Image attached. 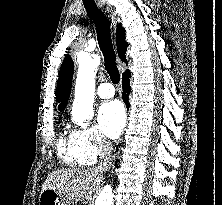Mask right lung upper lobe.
I'll use <instances>...</instances> for the list:
<instances>
[{
	"mask_svg": "<svg viewBox=\"0 0 222 205\" xmlns=\"http://www.w3.org/2000/svg\"><path fill=\"white\" fill-rule=\"evenodd\" d=\"M116 42L119 57L122 61L127 62L125 59V54L127 50L128 43L125 41V29L121 24L117 27L116 32ZM74 65L71 56L66 55L59 72V78L56 89V101L59 102L58 109L62 111L68 102L71 90V81L73 77ZM129 72V70H126Z\"/></svg>",
	"mask_w": 222,
	"mask_h": 205,
	"instance_id": "right-lung-upper-lobe-1",
	"label": "right lung upper lobe"
}]
</instances>
